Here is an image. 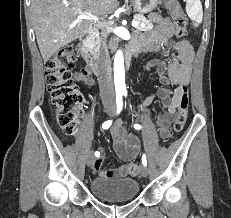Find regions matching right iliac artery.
<instances>
[{
  "instance_id": "1",
  "label": "right iliac artery",
  "mask_w": 231,
  "mask_h": 218,
  "mask_svg": "<svg viewBox=\"0 0 231 218\" xmlns=\"http://www.w3.org/2000/svg\"><path fill=\"white\" fill-rule=\"evenodd\" d=\"M116 103H117V113H120L122 110L123 106V101H122V93H117L116 94ZM112 124V120L105 121L102 125L103 129H108ZM100 153L98 151L95 152V156L98 157Z\"/></svg>"
}]
</instances>
